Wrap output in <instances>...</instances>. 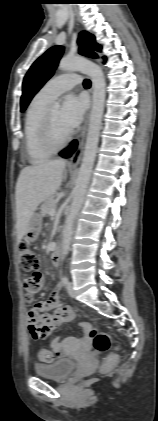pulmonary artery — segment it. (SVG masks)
Wrapping results in <instances>:
<instances>
[{
  "instance_id": "e3ab8cb5",
  "label": "pulmonary artery",
  "mask_w": 158,
  "mask_h": 421,
  "mask_svg": "<svg viewBox=\"0 0 158 421\" xmlns=\"http://www.w3.org/2000/svg\"><path fill=\"white\" fill-rule=\"evenodd\" d=\"M80 82V77L75 73H64L48 81L38 92V95L52 101L60 94L72 89Z\"/></svg>"
}]
</instances>
